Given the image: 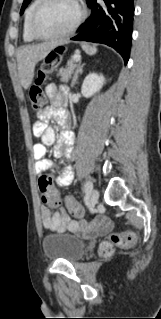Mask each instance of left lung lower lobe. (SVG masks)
<instances>
[{"instance_id":"0a47b994","label":"left lung lower lobe","mask_w":161,"mask_h":319,"mask_svg":"<svg viewBox=\"0 0 161 319\" xmlns=\"http://www.w3.org/2000/svg\"><path fill=\"white\" fill-rule=\"evenodd\" d=\"M99 5L89 0L91 16L78 28L79 34L71 38L77 41L103 43L113 47L128 62L132 40L134 16L133 0H104Z\"/></svg>"}]
</instances>
